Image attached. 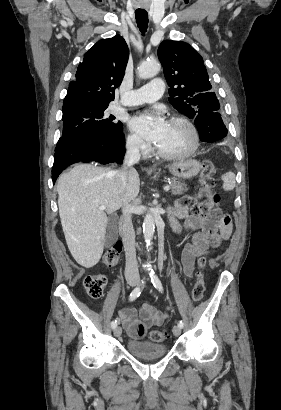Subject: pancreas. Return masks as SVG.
<instances>
[{
    "mask_svg": "<svg viewBox=\"0 0 281 410\" xmlns=\"http://www.w3.org/2000/svg\"><path fill=\"white\" fill-rule=\"evenodd\" d=\"M170 187L173 195H181L184 191H187L186 185L175 178L171 179Z\"/></svg>",
    "mask_w": 281,
    "mask_h": 410,
    "instance_id": "obj_1",
    "label": "pancreas"
}]
</instances>
